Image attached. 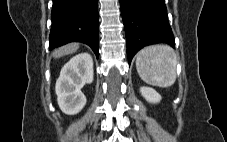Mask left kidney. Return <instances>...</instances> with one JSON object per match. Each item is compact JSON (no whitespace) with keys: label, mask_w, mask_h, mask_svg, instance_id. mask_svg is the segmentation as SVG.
<instances>
[{"label":"left kidney","mask_w":227,"mask_h":142,"mask_svg":"<svg viewBox=\"0 0 227 142\" xmlns=\"http://www.w3.org/2000/svg\"><path fill=\"white\" fill-rule=\"evenodd\" d=\"M140 92L142 96L150 103H158L161 100L160 94L150 87H141Z\"/></svg>","instance_id":"1"}]
</instances>
